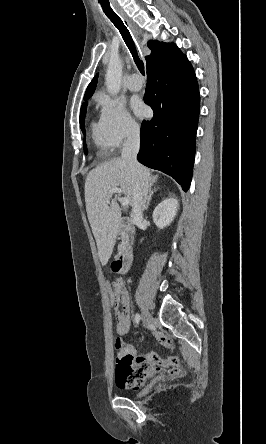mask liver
Masks as SVG:
<instances>
[{
	"label": "liver",
	"mask_w": 266,
	"mask_h": 444,
	"mask_svg": "<svg viewBox=\"0 0 266 444\" xmlns=\"http://www.w3.org/2000/svg\"><path fill=\"white\" fill-rule=\"evenodd\" d=\"M142 168L151 187L158 176L152 175L149 169ZM114 187L122 189L132 206L135 177L127 161L122 158H114L97 166L88 173L85 180L86 211L102 266L111 257L121 225V210L116 198L109 202L108 193Z\"/></svg>",
	"instance_id": "1"
}]
</instances>
